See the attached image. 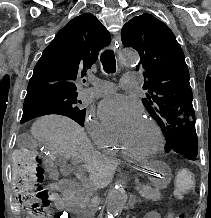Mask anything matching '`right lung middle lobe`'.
Returning a JSON list of instances; mask_svg holds the SVG:
<instances>
[{"label":"right lung middle lobe","instance_id":"obj_1","mask_svg":"<svg viewBox=\"0 0 211 218\" xmlns=\"http://www.w3.org/2000/svg\"><path fill=\"white\" fill-rule=\"evenodd\" d=\"M78 93L48 96L25 102L21 123L46 114H60L70 117L80 125H84L86 110L77 100Z\"/></svg>","mask_w":211,"mask_h":218}]
</instances>
